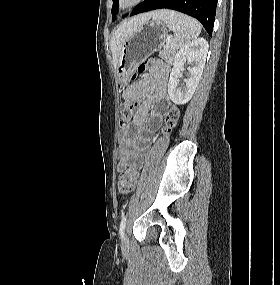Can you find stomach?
<instances>
[{
  "label": "stomach",
  "mask_w": 280,
  "mask_h": 285,
  "mask_svg": "<svg viewBox=\"0 0 280 285\" xmlns=\"http://www.w3.org/2000/svg\"><path fill=\"white\" fill-rule=\"evenodd\" d=\"M168 29L160 19L145 22L123 43L116 67L122 87L128 84L130 74L150 54L164 46Z\"/></svg>",
  "instance_id": "1"
}]
</instances>
